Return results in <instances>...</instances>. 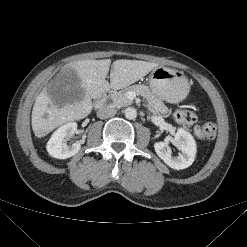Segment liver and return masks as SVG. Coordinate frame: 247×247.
<instances>
[{
	"label": "liver",
	"mask_w": 247,
	"mask_h": 247,
	"mask_svg": "<svg viewBox=\"0 0 247 247\" xmlns=\"http://www.w3.org/2000/svg\"><path fill=\"white\" fill-rule=\"evenodd\" d=\"M111 65L110 59L82 60L67 64L61 71H74L79 82L77 93L71 103L55 104L44 88L37 96L32 110V129L37 137H43L60 125L83 119L93 108L92 99L101 98L110 89L125 88L146 76L157 63L121 59L113 62L110 83L106 80Z\"/></svg>",
	"instance_id": "liver-1"
}]
</instances>
